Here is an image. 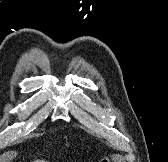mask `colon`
Instances as JSON below:
<instances>
[{"label": "colon", "instance_id": "5ec220e1", "mask_svg": "<svg viewBox=\"0 0 168 162\" xmlns=\"http://www.w3.org/2000/svg\"><path fill=\"white\" fill-rule=\"evenodd\" d=\"M99 162H112V160L109 156H104L99 160Z\"/></svg>", "mask_w": 168, "mask_h": 162}]
</instances>
